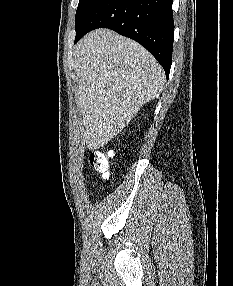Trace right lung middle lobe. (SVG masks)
<instances>
[{"instance_id":"dd1d6c3e","label":"right lung middle lobe","mask_w":233,"mask_h":286,"mask_svg":"<svg viewBox=\"0 0 233 286\" xmlns=\"http://www.w3.org/2000/svg\"><path fill=\"white\" fill-rule=\"evenodd\" d=\"M93 2L94 0H79L75 17V26L82 21Z\"/></svg>"}]
</instances>
